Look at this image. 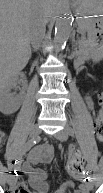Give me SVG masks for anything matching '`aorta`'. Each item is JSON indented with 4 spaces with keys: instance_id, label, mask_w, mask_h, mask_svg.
Instances as JSON below:
<instances>
[{
    "instance_id": "762f6f07",
    "label": "aorta",
    "mask_w": 103,
    "mask_h": 193,
    "mask_svg": "<svg viewBox=\"0 0 103 193\" xmlns=\"http://www.w3.org/2000/svg\"><path fill=\"white\" fill-rule=\"evenodd\" d=\"M72 26L71 10L67 0H62L58 7L55 22L54 42L58 50L62 49L69 39Z\"/></svg>"
}]
</instances>
